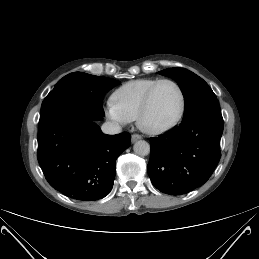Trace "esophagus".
I'll list each match as a JSON object with an SVG mask.
<instances>
[{
  "mask_svg": "<svg viewBox=\"0 0 259 259\" xmlns=\"http://www.w3.org/2000/svg\"><path fill=\"white\" fill-rule=\"evenodd\" d=\"M142 137L140 136V135H138V134H133L132 136H131V141L134 143V142H136L137 140H139V139H141Z\"/></svg>",
  "mask_w": 259,
  "mask_h": 259,
  "instance_id": "esophagus-1",
  "label": "esophagus"
}]
</instances>
